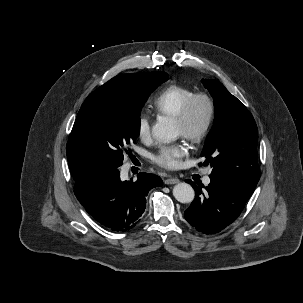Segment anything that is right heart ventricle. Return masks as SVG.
Wrapping results in <instances>:
<instances>
[{
  "label": "right heart ventricle",
  "instance_id": "obj_1",
  "mask_svg": "<svg viewBox=\"0 0 303 303\" xmlns=\"http://www.w3.org/2000/svg\"><path fill=\"white\" fill-rule=\"evenodd\" d=\"M194 94V90L182 85H168L155 98L154 109L160 115L175 118L185 102Z\"/></svg>",
  "mask_w": 303,
  "mask_h": 303
}]
</instances>
